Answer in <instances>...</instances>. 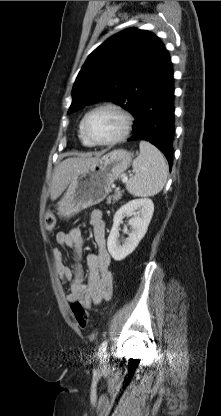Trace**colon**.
Listing matches in <instances>:
<instances>
[{
	"label": "colon",
	"mask_w": 221,
	"mask_h": 416,
	"mask_svg": "<svg viewBox=\"0 0 221 416\" xmlns=\"http://www.w3.org/2000/svg\"><path fill=\"white\" fill-rule=\"evenodd\" d=\"M56 225V217L53 214L47 215L45 219V226L47 230H53ZM71 311L74 315V318L77 324L81 328H86L89 324L88 313L85 310L84 306L79 301H73L70 304Z\"/></svg>",
	"instance_id": "1"
}]
</instances>
